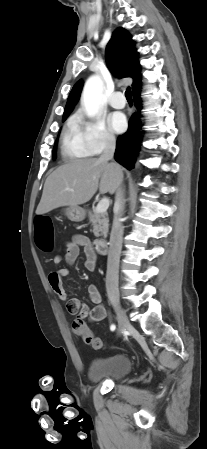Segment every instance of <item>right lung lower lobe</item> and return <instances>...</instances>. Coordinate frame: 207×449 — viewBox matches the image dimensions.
I'll use <instances>...</instances> for the list:
<instances>
[{
	"label": "right lung lower lobe",
	"instance_id": "1",
	"mask_svg": "<svg viewBox=\"0 0 207 449\" xmlns=\"http://www.w3.org/2000/svg\"><path fill=\"white\" fill-rule=\"evenodd\" d=\"M133 98L138 111L131 116L127 132L118 138L114 154L115 160L128 169L134 167V162L138 156L142 140V132L140 131L141 120L139 108H141V99L139 89L133 92Z\"/></svg>",
	"mask_w": 207,
	"mask_h": 449
}]
</instances>
